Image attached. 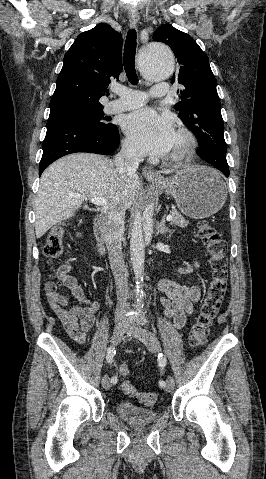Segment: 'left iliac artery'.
Wrapping results in <instances>:
<instances>
[{"instance_id": "1", "label": "left iliac artery", "mask_w": 266, "mask_h": 479, "mask_svg": "<svg viewBox=\"0 0 266 479\" xmlns=\"http://www.w3.org/2000/svg\"><path fill=\"white\" fill-rule=\"evenodd\" d=\"M146 322V321H145ZM159 358V363H158V366L161 367V369H166V358L164 357V355L162 353L159 354L158 356ZM166 384L164 381H159V386L160 387H164Z\"/></svg>"}]
</instances>
